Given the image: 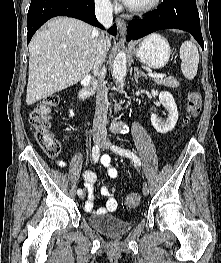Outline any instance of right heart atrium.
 <instances>
[{"mask_svg": "<svg viewBox=\"0 0 221 263\" xmlns=\"http://www.w3.org/2000/svg\"><path fill=\"white\" fill-rule=\"evenodd\" d=\"M96 4L104 9H111L113 7L112 0H95Z\"/></svg>", "mask_w": 221, "mask_h": 263, "instance_id": "d8ad5b80", "label": "right heart atrium"}]
</instances>
